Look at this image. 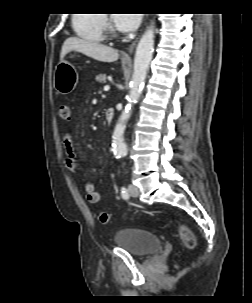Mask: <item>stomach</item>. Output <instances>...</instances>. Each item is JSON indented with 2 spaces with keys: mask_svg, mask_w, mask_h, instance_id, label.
<instances>
[{
  "mask_svg": "<svg viewBox=\"0 0 252 303\" xmlns=\"http://www.w3.org/2000/svg\"><path fill=\"white\" fill-rule=\"evenodd\" d=\"M127 64V62H123ZM79 80V74L76 68L66 60L58 63L54 73V87L60 94L66 95L71 93Z\"/></svg>",
  "mask_w": 252,
  "mask_h": 303,
  "instance_id": "0dacf381",
  "label": "stomach"
}]
</instances>
